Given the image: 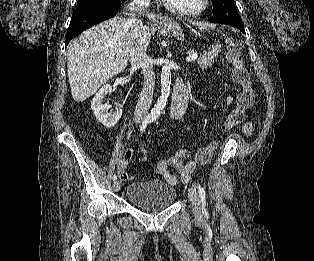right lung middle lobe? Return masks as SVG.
<instances>
[{"label":"right lung middle lobe","instance_id":"dd1d6c3e","mask_svg":"<svg viewBox=\"0 0 314 261\" xmlns=\"http://www.w3.org/2000/svg\"><path fill=\"white\" fill-rule=\"evenodd\" d=\"M98 1H101V0H78L76 9L83 8L87 5H90Z\"/></svg>","mask_w":314,"mask_h":261}]
</instances>
